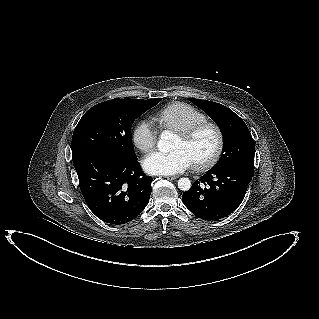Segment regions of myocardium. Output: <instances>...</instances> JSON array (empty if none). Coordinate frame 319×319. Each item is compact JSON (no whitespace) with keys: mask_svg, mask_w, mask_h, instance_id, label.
<instances>
[{"mask_svg":"<svg viewBox=\"0 0 319 319\" xmlns=\"http://www.w3.org/2000/svg\"><path fill=\"white\" fill-rule=\"evenodd\" d=\"M204 129H210L215 135V147L210 156L203 161L192 162L194 169L205 171L212 168L220 159L224 149V134L220 126L212 121L206 120L196 123L184 130L177 131V136L189 141Z\"/></svg>","mask_w":319,"mask_h":319,"instance_id":"1","label":"myocardium"}]
</instances>
